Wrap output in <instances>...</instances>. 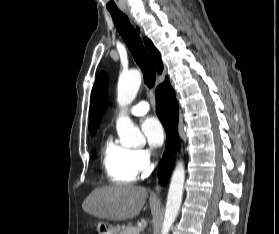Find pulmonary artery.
<instances>
[{
    "label": "pulmonary artery",
    "mask_w": 279,
    "mask_h": 234,
    "mask_svg": "<svg viewBox=\"0 0 279 234\" xmlns=\"http://www.w3.org/2000/svg\"><path fill=\"white\" fill-rule=\"evenodd\" d=\"M149 103L145 100L135 103L130 109L129 113L135 116L145 115L149 111Z\"/></svg>",
    "instance_id": "obj_1"
}]
</instances>
